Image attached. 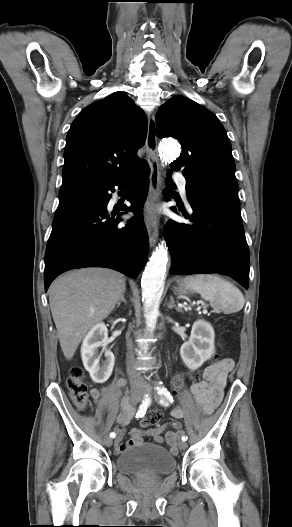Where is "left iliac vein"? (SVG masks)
Returning <instances> with one entry per match:
<instances>
[{"label":"left iliac vein","instance_id":"left-iliac-vein-1","mask_svg":"<svg viewBox=\"0 0 292 527\" xmlns=\"http://www.w3.org/2000/svg\"><path fill=\"white\" fill-rule=\"evenodd\" d=\"M179 448H180L181 450L186 449V448H187V443H186L185 441H181V442L179 443Z\"/></svg>","mask_w":292,"mask_h":527}]
</instances>
